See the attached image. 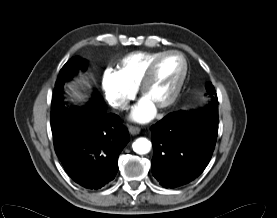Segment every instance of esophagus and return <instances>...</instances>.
<instances>
[{
    "instance_id": "1",
    "label": "esophagus",
    "mask_w": 277,
    "mask_h": 218,
    "mask_svg": "<svg viewBox=\"0 0 277 218\" xmlns=\"http://www.w3.org/2000/svg\"><path fill=\"white\" fill-rule=\"evenodd\" d=\"M128 131H129V133L132 134V135H137V134H139V132H140V128H139V127H136V126L129 125V126H128Z\"/></svg>"
}]
</instances>
